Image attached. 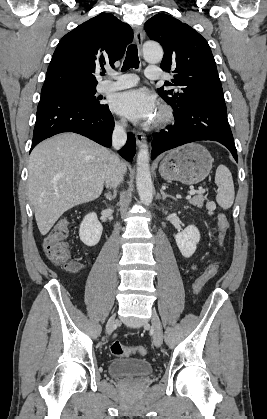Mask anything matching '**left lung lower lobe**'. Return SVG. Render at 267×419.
Returning <instances> with one entry per match:
<instances>
[{"label": "left lung lower lobe", "mask_w": 267, "mask_h": 419, "mask_svg": "<svg viewBox=\"0 0 267 419\" xmlns=\"http://www.w3.org/2000/svg\"><path fill=\"white\" fill-rule=\"evenodd\" d=\"M175 124L156 133L151 158L186 143L199 140L217 141L226 146L238 162L234 139L227 119L225 103L196 104L174 113Z\"/></svg>", "instance_id": "obj_1"}]
</instances>
